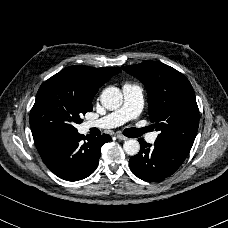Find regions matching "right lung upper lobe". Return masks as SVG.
<instances>
[{
	"label": "right lung upper lobe",
	"mask_w": 228,
	"mask_h": 228,
	"mask_svg": "<svg viewBox=\"0 0 228 228\" xmlns=\"http://www.w3.org/2000/svg\"><path fill=\"white\" fill-rule=\"evenodd\" d=\"M121 70L117 67L94 68L77 65L69 66L51 77L70 86L87 103L91 104L98 89Z\"/></svg>",
	"instance_id": "right-lung-upper-lobe-1"
}]
</instances>
